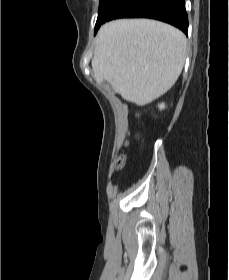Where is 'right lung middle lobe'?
I'll list each match as a JSON object with an SVG mask.
<instances>
[{"mask_svg": "<svg viewBox=\"0 0 229 280\" xmlns=\"http://www.w3.org/2000/svg\"><path fill=\"white\" fill-rule=\"evenodd\" d=\"M115 1L116 0H100V6H99V12H98V18H97L95 30L104 20V18L108 14L109 10L111 9Z\"/></svg>", "mask_w": 229, "mask_h": 280, "instance_id": "obj_1", "label": "right lung middle lobe"}]
</instances>
